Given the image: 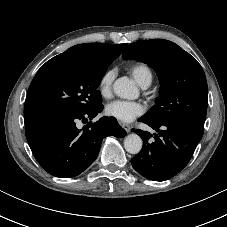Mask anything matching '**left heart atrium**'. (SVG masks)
<instances>
[{
    "label": "left heart atrium",
    "mask_w": 227,
    "mask_h": 227,
    "mask_svg": "<svg viewBox=\"0 0 227 227\" xmlns=\"http://www.w3.org/2000/svg\"><path fill=\"white\" fill-rule=\"evenodd\" d=\"M144 106L139 102L115 100L107 104L105 113L121 122L127 123L144 113Z\"/></svg>",
    "instance_id": "left-heart-atrium-1"
}]
</instances>
